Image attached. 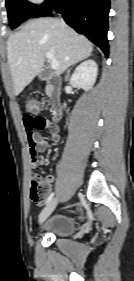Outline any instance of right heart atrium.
<instances>
[{"label":"right heart atrium","mask_w":134,"mask_h":281,"mask_svg":"<svg viewBox=\"0 0 134 281\" xmlns=\"http://www.w3.org/2000/svg\"><path fill=\"white\" fill-rule=\"evenodd\" d=\"M29 1L35 5H42L46 3L48 0H29Z\"/></svg>","instance_id":"obj_1"}]
</instances>
